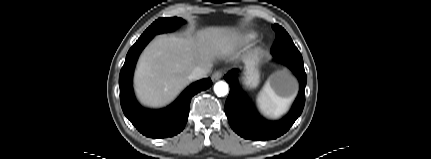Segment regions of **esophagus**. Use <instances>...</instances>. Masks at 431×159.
<instances>
[{
  "label": "esophagus",
  "mask_w": 431,
  "mask_h": 159,
  "mask_svg": "<svg viewBox=\"0 0 431 159\" xmlns=\"http://www.w3.org/2000/svg\"><path fill=\"white\" fill-rule=\"evenodd\" d=\"M223 76V72L222 71H216L215 73H213L212 75V80L213 81H217L219 79H221Z\"/></svg>",
  "instance_id": "obj_1"
}]
</instances>
